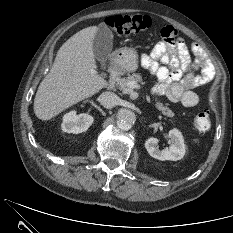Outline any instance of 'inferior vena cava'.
<instances>
[{"mask_svg":"<svg viewBox=\"0 0 233 233\" xmlns=\"http://www.w3.org/2000/svg\"><path fill=\"white\" fill-rule=\"evenodd\" d=\"M119 97L113 92H104L99 96V102L105 108H113L118 104Z\"/></svg>","mask_w":233,"mask_h":233,"instance_id":"602c4592","label":"inferior vena cava"}]
</instances>
